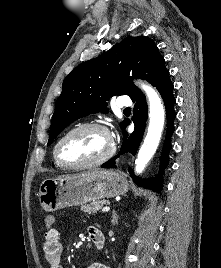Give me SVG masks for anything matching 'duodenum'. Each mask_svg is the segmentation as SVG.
<instances>
[{
    "label": "duodenum",
    "instance_id": "1",
    "mask_svg": "<svg viewBox=\"0 0 221 268\" xmlns=\"http://www.w3.org/2000/svg\"><path fill=\"white\" fill-rule=\"evenodd\" d=\"M90 239L98 250L103 248L105 239L103 233L99 229H96L91 233Z\"/></svg>",
    "mask_w": 221,
    "mask_h": 268
}]
</instances>
